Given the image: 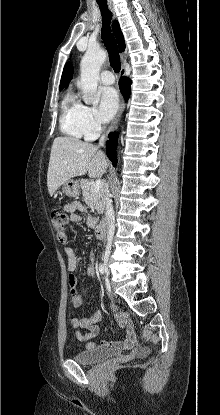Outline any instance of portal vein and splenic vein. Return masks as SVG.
Returning a JSON list of instances; mask_svg holds the SVG:
<instances>
[{"label":"portal vein and splenic vein","mask_w":220,"mask_h":415,"mask_svg":"<svg viewBox=\"0 0 220 415\" xmlns=\"http://www.w3.org/2000/svg\"><path fill=\"white\" fill-rule=\"evenodd\" d=\"M102 187H103V182H102V180H101V179H97V180L94 182V185H93V191H94L95 193H98Z\"/></svg>","instance_id":"portal-vein-and-splenic-vein-1"}]
</instances>
